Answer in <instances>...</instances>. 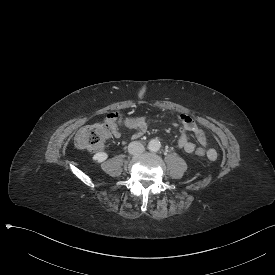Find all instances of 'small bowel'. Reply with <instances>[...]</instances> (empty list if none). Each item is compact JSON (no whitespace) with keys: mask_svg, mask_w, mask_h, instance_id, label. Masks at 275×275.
Listing matches in <instances>:
<instances>
[{"mask_svg":"<svg viewBox=\"0 0 275 275\" xmlns=\"http://www.w3.org/2000/svg\"><path fill=\"white\" fill-rule=\"evenodd\" d=\"M171 113H173V112H171ZM121 117H122L121 111H116L114 113L109 114L110 120H117V119H120ZM174 125L181 126V133H180L179 139L177 141L178 148L184 150L187 153H192L194 151L195 144L193 142H191L187 136V133H189V132L193 133L196 136L198 142L202 146H204V147L208 146L206 135L198 127V125L195 123V121L189 115H186V114L177 115V117L174 120ZM127 126L131 129L135 130L132 137L137 139V138H140L146 130V120L144 119V121H139L138 123H135L133 125H127ZM118 129L119 128L116 126H114V128H113L115 138L121 137V132L117 131ZM207 152L210 155L211 153H213L215 151L213 149H209Z\"/></svg>","mask_w":275,"mask_h":275,"instance_id":"c3829d8e","label":"small bowel"}]
</instances>
